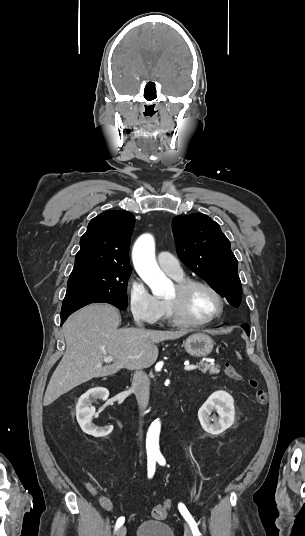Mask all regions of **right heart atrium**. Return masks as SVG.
I'll use <instances>...</instances> for the list:
<instances>
[{"instance_id": "1", "label": "right heart atrium", "mask_w": 305, "mask_h": 536, "mask_svg": "<svg viewBox=\"0 0 305 536\" xmlns=\"http://www.w3.org/2000/svg\"><path fill=\"white\" fill-rule=\"evenodd\" d=\"M128 307L132 316L140 321L155 323L163 314L164 304L154 297L147 287L136 278L127 286Z\"/></svg>"}]
</instances>
